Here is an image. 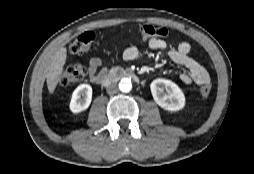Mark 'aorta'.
<instances>
[{"label": "aorta", "instance_id": "obj_1", "mask_svg": "<svg viewBox=\"0 0 254 174\" xmlns=\"http://www.w3.org/2000/svg\"><path fill=\"white\" fill-rule=\"evenodd\" d=\"M119 89L122 92H129L132 89V83L131 80L129 78H123L121 79V81L119 82Z\"/></svg>", "mask_w": 254, "mask_h": 174}]
</instances>
